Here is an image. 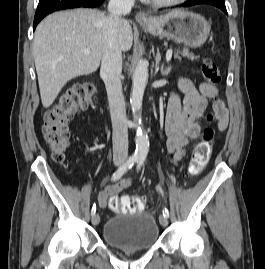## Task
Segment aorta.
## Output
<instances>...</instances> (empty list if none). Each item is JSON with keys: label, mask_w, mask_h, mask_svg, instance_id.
Returning a JSON list of instances; mask_svg holds the SVG:
<instances>
[{"label": "aorta", "mask_w": 265, "mask_h": 269, "mask_svg": "<svg viewBox=\"0 0 265 269\" xmlns=\"http://www.w3.org/2000/svg\"><path fill=\"white\" fill-rule=\"evenodd\" d=\"M148 81V64L144 59H140L134 74L132 81V91L130 95V105L133 113L134 120H141V108L144 90ZM136 150L135 156L145 159L149 150V138L146 133L139 129L136 137Z\"/></svg>", "instance_id": "1"}]
</instances>
